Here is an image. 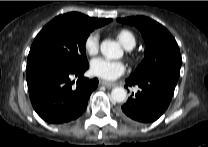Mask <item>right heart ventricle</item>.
Here are the masks:
<instances>
[{"mask_svg":"<svg viewBox=\"0 0 208 147\" xmlns=\"http://www.w3.org/2000/svg\"><path fill=\"white\" fill-rule=\"evenodd\" d=\"M116 36L124 48L130 50L136 45V38L134 34L127 30L121 29L116 32Z\"/></svg>","mask_w":208,"mask_h":147,"instance_id":"right-heart-ventricle-1","label":"right heart ventricle"}]
</instances>
